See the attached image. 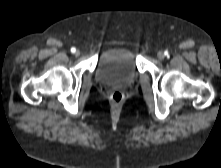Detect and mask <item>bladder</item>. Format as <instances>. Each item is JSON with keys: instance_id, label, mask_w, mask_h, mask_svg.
<instances>
[{"instance_id": "31cf9c89", "label": "bladder", "mask_w": 221, "mask_h": 168, "mask_svg": "<svg viewBox=\"0 0 221 168\" xmlns=\"http://www.w3.org/2000/svg\"><path fill=\"white\" fill-rule=\"evenodd\" d=\"M95 75L104 84L134 81L139 75L135 53L127 47H114L105 51L98 61Z\"/></svg>"}]
</instances>
